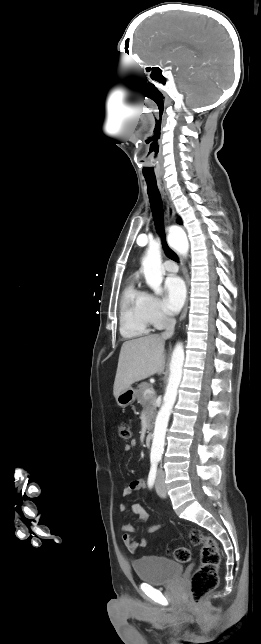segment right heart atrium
I'll return each instance as SVG.
<instances>
[{"instance_id":"d8ad5b80","label":"right heart atrium","mask_w":261,"mask_h":644,"mask_svg":"<svg viewBox=\"0 0 261 644\" xmlns=\"http://www.w3.org/2000/svg\"><path fill=\"white\" fill-rule=\"evenodd\" d=\"M148 313L155 327H163L170 322L169 316L163 309L162 302L158 298L150 295H148Z\"/></svg>"}]
</instances>
